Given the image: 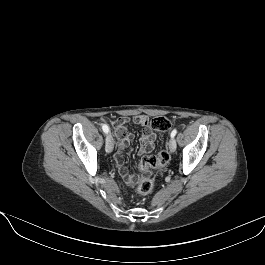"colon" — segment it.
<instances>
[{
    "mask_svg": "<svg viewBox=\"0 0 265 265\" xmlns=\"http://www.w3.org/2000/svg\"><path fill=\"white\" fill-rule=\"evenodd\" d=\"M145 124H148L151 128L160 131L166 132L171 128V121L164 116L154 117L150 120H147ZM170 160V154L167 150H160L154 155L146 156L141 159L138 164V169L142 173H147L150 169H160L164 167ZM153 188L152 179L147 176H141L138 179V190L142 194L149 193Z\"/></svg>",
    "mask_w": 265,
    "mask_h": 265,
    "instance_id": "5ec220e1",
    "label": "colon"
}]
</instances>
